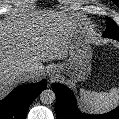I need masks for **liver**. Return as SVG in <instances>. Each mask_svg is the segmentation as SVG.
I'll list each match as a JSON object with an SVG mask.
<instances>
[{
    "label": "liver",
    "instance_id": "1",
    "mask_svg": "<svg viewBox=\"0 0 119 119\" xmlns=\"http://www.w3.org/2000/svg\"><path fill=\"white\" fill-rule=\"evenodd\" d=\"M56 16L58 27L29 18L0 21V99L24 82L21 70L33 67L35 73L27 81L38 80L44 74L42 62L69 54L77 24ZM45 27H50V33L43 32Z\"/></svg>",
    "mask_w": 119,
    "mask_h": 119
}]
</instances>
